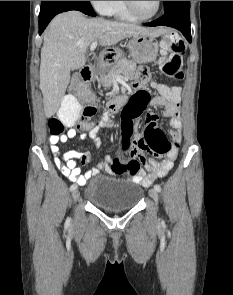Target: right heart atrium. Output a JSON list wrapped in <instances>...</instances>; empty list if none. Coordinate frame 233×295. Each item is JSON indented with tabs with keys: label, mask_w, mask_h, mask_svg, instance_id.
Returning <instances> with one entry per match:
<instances>
[{
	"label": "right heart atrium",
	"mask_w": 233,
	"mask_h": 295,
	"mask_svg": "<svg viewBox=\"0 0 233 295\" xmlns=\"http://www.w3.org/2000/svg\"><path fill=\"white\" fill-rule=\"evenodd\" d=\"M113 1H90L93 8L102 15H109Z\"/></svg>",
	"instance_id": "right-heart-atrium-1"
}]
</instances>
